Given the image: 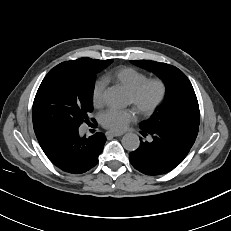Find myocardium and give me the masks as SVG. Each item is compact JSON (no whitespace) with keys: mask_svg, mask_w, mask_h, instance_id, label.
Here are the masks:
<instances>
[{"mask_svg":"<svg viewBox=\"0 0 231 231\" xmlns=\"http://www.w3.org/2000/svg\"><path fill=\"white\" fill-rule=\"evenodd\" d=\"M158 87V96L156 99L149 105H143L141 102L142 95L150 86ZM168 92L167 83L161 78H147L141 84H139L135 89L129 92L131 97V104L137 109V111L142 116L151 115L165 100Z\"/></svg>","mask_w":231,"mask_h":231,"instance_id":"1","label":"myocardium"}]
</instances>
